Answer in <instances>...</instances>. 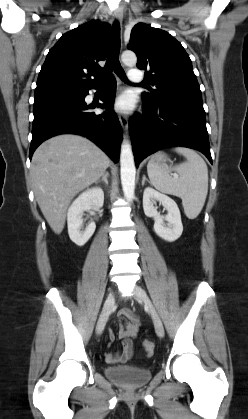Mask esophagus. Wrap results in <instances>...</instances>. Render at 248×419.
Instances as JSON below:
<instances>
[{
    "instance_id": "34e87169",
    "label": "esophagus",
    "mask_w": 248,
    "mask_h": 419,
    "mask_svg": "<svg viewBox=\"0 0 248 419\" xmlns=\"http://www.w3.org/2000/svg\"><path fill=\"white\" fill-rule=\"evenodd\" d=\"M113 16L119 21V22H121L122 21V19H123V11H122V9H120V8H117L114 12H113ZM118 118H119V121H120V123H121V125H122V127H123V129L125 130V131H127V129H128V118L124 115V114H122V113H118Z\"/></svg>"
}]
</instances>
